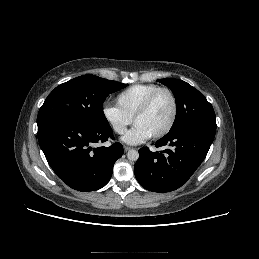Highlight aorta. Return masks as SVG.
I'll return each instance as SVG.
<instances>
[{"mask_svg": "<svg viewBox=\"0 0 259 259\" xmlns=\"http://www.w3.org/2000/svg\"><path fill=\"white\" fill-rule=\"evenodd\" d=\"M127 158L130 160V161H137V159L139 158V153L138 151L132 149V150H129L128 153H127Z\"/></svg>", "mask_w": 259, "mask_h": 259, "instance_id": "aorta-1", "label": "aorta"}]
</instances>
